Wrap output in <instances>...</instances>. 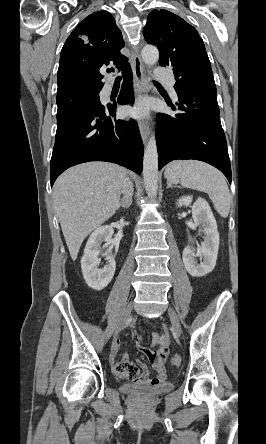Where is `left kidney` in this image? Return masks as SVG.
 <instances>
[{"mask_svg":"<svg viewBox=\"0 0 266 444\" xmlns=\"http://www.w3.org/2000/svg\"><path fill=\"white\" fill-rule=\"evenodd\" d=\"M192 196H182L177 201V206H189L192 203ZM192 217L196 226L201 227L204 233V242L198 248L197 254L188 245L183 250V263L187 272L193 277H203L210 273L215 265L219 248V233L217 230V223L211 208L207 201L203 198H198L192 206ZM200 257V264H198L194 257Z\"/></svg>","mask_w":266,"mask_h":444,"instance_id":"left-kidney-1","label":"left kidney"}]
</instances>
